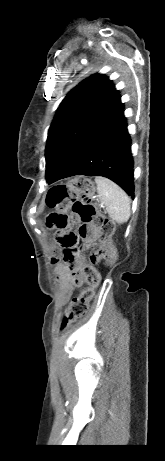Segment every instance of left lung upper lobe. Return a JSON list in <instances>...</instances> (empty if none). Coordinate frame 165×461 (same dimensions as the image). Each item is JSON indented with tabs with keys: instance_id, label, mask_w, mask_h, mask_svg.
<instances>
[{
	"instance_id": "obj_1",
	"label": "left lung upper lobe",
	"mask_w": 165,
	"mask_h": 461,
	"mask_svg": "<svg viewBox=\"0 0 165 461\" xmlns=\"http://www.w3.org/2000/svg\"><path fill=\"white\" fill-rule=\"evenodd\" d=\"M118 95L112 81L103 74L84 79L66 95L48 132L45 150L47 182Z\"/></svg>"
}]
</instances>
